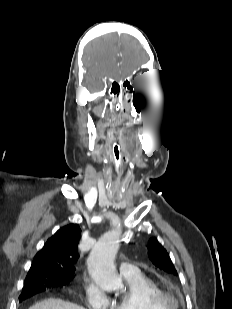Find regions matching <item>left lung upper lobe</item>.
Instances as JSON below:
<instances>
[{
    "instance_id": "5c2ea615",
    "label": "left lung upper lobe",
    "mask_w": 232,
    "mask_h": 309,
    "mask_svg": "<svg viewBox=\"0 0 232 309\" xmlns=\"http://www.w3.org/2000/svg\"><path fill=\"white\" fill-rule=\"evenodd\" d=\"M148 255L152 263L158 268L177 275V271L163 246L155 238L149 240Z\"/></svg>"
}]
</instances>
